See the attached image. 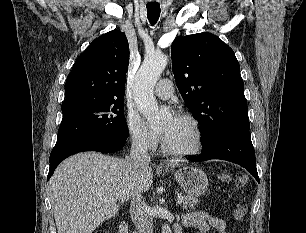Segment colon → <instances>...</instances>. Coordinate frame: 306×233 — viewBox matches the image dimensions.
<instances>
[{"instance_id":"1","label":"colon","mask_w":306,"mask_h":233,"mask_svg":"<svg viewBox=\"0 0 306 233\" xmlns=\"http://www.w3.org/2000/svg\"><path fill=\"white\" fill-rule=\"evenodd\" d=\"M247 214V206L245 204H238L233 211L234 218L242 220ZM94 233H107L105 229H98Z\"/></svg>"}]
</instances>
